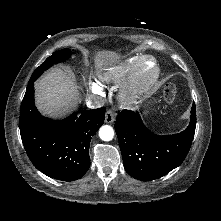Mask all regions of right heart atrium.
Segmentation results:
<instances>
[{
  "label": "right heart atrium",
  "instance_id": "1",
  "mask_svg": "<svg viewBox=\"0 0 221 221\" xmlns=\"http://www.w3.org/2000/svg\"><path fill=\"white\" fill-rule=\"evenodd\" d=\"M94 90L97 91V88L94 86Z\"/></svg>",
  "mask_w": 221,
  "mask_h": 221
}]
</instances>
